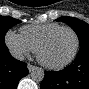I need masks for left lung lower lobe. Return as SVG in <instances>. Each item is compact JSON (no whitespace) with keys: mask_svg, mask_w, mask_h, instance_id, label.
<instances>
[{"mask_svg":"<svg viewBox=\"0 0 89 89\" xmlns=\"http://www.w3.org/2000/svg\"><path fill=\"white\" fill-rule=\"evenodd\" d=\"M40 89H89V47L81 48L64 70L45 71Z\"/></svg>","mask_w":89,"mask_h":89,"instance_id":"left-lung-lower-lobe-1","label":"left lung lower lobe"}]
</instances>
